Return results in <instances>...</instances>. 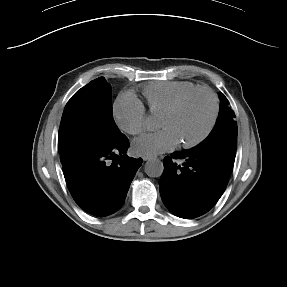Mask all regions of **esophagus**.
I'll return each mask as SVG.
<instances>
[{"label": "esophagus", "instance_id": "34e87169", "mask_svg": "<svg viewBox=\"0 0 287 287\" xmlns=\"http://www.w3.org/2000/svg\"><path fill=\"white\" fill-rule=\"evenodd\" d=\"M153 158H154V157L149 156V155H143V156H142V159H143L144 161L151 160V159H153Z\"/></svg>", "mask_w": 287, "mask_h": 287}]
</instances>
